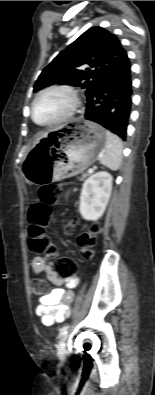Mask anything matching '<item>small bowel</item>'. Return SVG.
<instances>
[{
    "label": "small bowel",
    "instance_id": "1",
    "mask_svg": "<svg viewBox=\"0 0 155 395\" xmlns=\"http://www.w3.org/2000/svg\"><path fill=\"white\" fill-rule=\"evenodd\" d=\"M31 265L35 274L44 275L57 286L40 298L36 314L46 326L63 321L69 315V304L74 296L72 288L77 283V276L69 275V281H62V275L57 274L53 263L43 256L34 257ZM62 285H66V288L61 287Z\"/></svg>",
    "mask_w": 155,
    "mask_h": 395
}]
</instances>
